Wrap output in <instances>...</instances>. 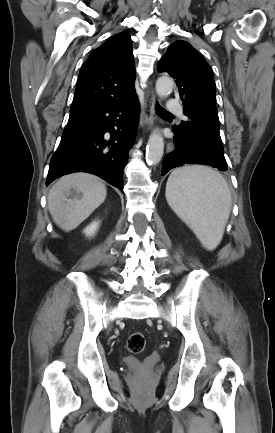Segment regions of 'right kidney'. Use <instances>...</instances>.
<instances>
[{"instance_id":"right-kidney-1","label":"right kidney","mask_w":275,"mask_h":433,"mask_svg":"<svg viewBox=\"0 0 275 433\" xmlns=\"http://www.w3.org/2000/svg\"><path fill=\"white\" fill-rule=\"evenodd\" d=\"M98 227H99V222H97V221L92 222L90 225H88L84 229L85 235L88 237L93 236L96 233V231L98 230Z\"/></svg>"}]
</instances>
